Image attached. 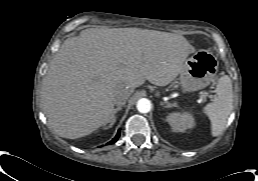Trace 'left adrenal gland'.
I'll use <instances>...</instances> for the list:
<instances>
[{
  "label": "left adrenal gland",
  "mask_w": 258,
  "mask_h": 181,
  "mask_svg": "<svg viewBox=\"0 0 258 181\" xmlns=\"http://www.w3.org/2000/svg\"><path fill=\"white\" fill-rule=\"evenodd\" d=\"M160 103H161V105L164 106V108H171V107H174V106H175V104H171V103H169V102H166V103L160 102Z\"/></svg>",
  "instance_id": "left-adrenal-gland-1"
}]
</instances>
